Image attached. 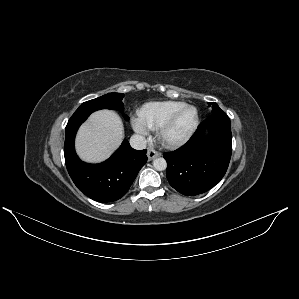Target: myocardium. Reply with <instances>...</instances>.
<instances>
[{"instance_id": "1", "label": "myocardium", "mask_w": 299, "mask_h": 299, "mask_svg": "<svg viewBox=\"0 0 299 299\" xmlns=\"http://www.w3.org/2000/svg\"><path fill=\"white\" fill-rule=\"evenodd\" d=\"M192 108L196 111V119L191 126V128L184 133L183 135L179 137H171L169 135V131L180 116V114L185 111L186 109ZM200 122V112L199 109L194 105L185 104L175 112H173L165 121L164 123L159 127V136L161 141L170 147H177L185 144L195 133L198 125Z\"/></svg>"}]
</instances>
